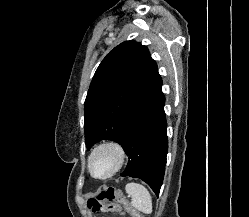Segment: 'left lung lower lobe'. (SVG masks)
I'll return each instance as SVG.
<instances>
[{"label": "left lung lower lobe", "mask_w": 249, "mask_h": 217, "mask_svg": "<svg viewBox=\"0 0 249 217\" xmlns=\"http://www.w3.org/2000/svg\"><path fill=\"white\" fill-rule=\"evenodd\" d=\"M161 77L132 108L121 127L119 144L129 156L123 177L139 178L158 196L168 150Z\"/></svg>", "instance_id": "1"}]
</instances>
